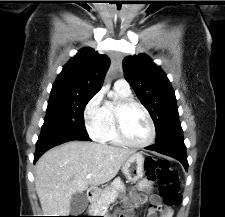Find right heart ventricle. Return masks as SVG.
Listing matches in <instances>:
<instances>
[{"mask_svg":"<svg viewBox=\"0 0 225 217\" xmlns=\"http://www.w3.org/2000/svg\"><path fill=\"white\" fill-rule=\"evenodd\" d=\"M116 92L120 99L131 97V92H124L119 89H116ZM115 106L116 103L111 101H108L103 105L105 129L99 140L109 145L122 146L123 143L120 141L116 131L115 116H114Z\"/></svg>","mask_w":225,"mask_h":217,"instance_id":"obj_1","label":"right heart ventricle"}]
</instances>
